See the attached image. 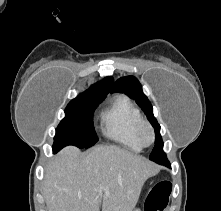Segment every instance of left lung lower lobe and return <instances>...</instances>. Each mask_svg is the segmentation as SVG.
<instances>
[{"label": "left lung lower lobe", "mask_w": 221, "mask_h": 211, "mask_svg": "<svg viewBox=\"0 0 221 211\" xmlns=\"http://www.w3.org/2000/svg\"><path fill=\"white\" fill-rule=\"evenodd\" d=\"M160 164L166 165V166H169V167H170V164H169V161H168V160L162 161Z\"/></svg>", "instance_id": "1"}]
</instances>
